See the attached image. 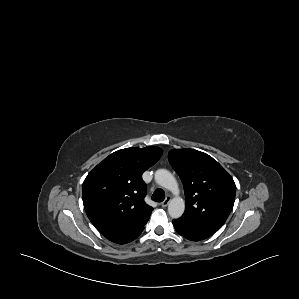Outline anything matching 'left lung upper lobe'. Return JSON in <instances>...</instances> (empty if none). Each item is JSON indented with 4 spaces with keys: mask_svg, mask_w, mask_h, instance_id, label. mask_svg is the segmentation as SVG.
<instances>
[{
    "mask_svg": "<svg viewBox=\"0 0 299 299\" xmlns=\"http://www.w3.org/2000/svg\"><path fill=\"white\" fill-rule=\"evenodd\" d=\"M169 162L180 176L189 225L214 233L225 223L235 201L236 186L229 173L211 156L193 149H172Z\"/></svg>",
    "mask_w": 299,
    "mask_h": 299,
    "instance_id": "5c2ea615",
    "label": "left lung upper lobe"
}]
</instances>
